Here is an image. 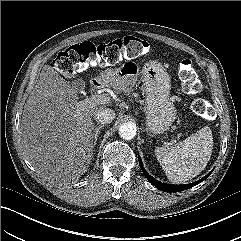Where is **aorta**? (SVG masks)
Masks as SVG:
<instances>
[{"label": "aorta", "mask_w": 241, "mask_h": 241, "mask_svg": "<svg viewBox=\"0 0 241 241\" xmlns=\"http://www.w3.org/2000/svg\"><path fill=\"white\" fill-rule=\"evenodd\" d=\"M136 132V125L131 122L124 123L119 127V135L125 140L133 139L136 135Z\"/></svg>", "instance_id": "obj_1"}]
</instances>
